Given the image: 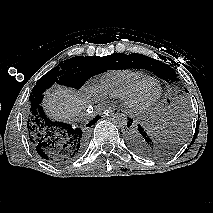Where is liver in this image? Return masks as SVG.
<instances>
[{
	"label": "liver",
	"instance_id": "6515ba94",
	"mask_svg": "<svg viewBox=\"0 0 213 213\" xmlns=\"http://www.w3.org/2000/svg\"><path fill=\"white\" fill-rule=\"evenodd\" d=\"M44 106L55 119L69 121L80 113L85 102L71 89L57 86L48 92Z\"/></svg>",
	"mask_w": 213,
	"mask_h": 213
}]
</instances>
